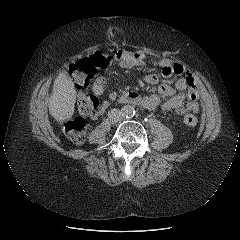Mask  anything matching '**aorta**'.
<instances>
[{"label": "aorta", "mask_w": 240, "mask_h": 240, "mask_svg": "<svg viewBox=\"0 0 240 240\" xmlns=\"http://www.w3.org/2000/svg\"><path fill=\"white\" fill-rule=\"evenodd\" d=\"M121 112L126 118H131L135 115V109L131 105H125L124 107H122Z\"/></svg>", "instance_id": "obj_1"}]
</instances>
